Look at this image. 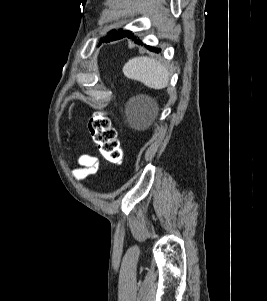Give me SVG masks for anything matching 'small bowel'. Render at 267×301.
I'll return each instance as SVG.
<instances>
[{
    "label": "small bowel",
    "instance_id": "small-bowel-1",
    "mask_svg": "<svg viewBox=\"0 0 267 301\" xmlns=\"http://www.w3.org/2000/svg\"><path fill=\"white\" fill-rule=\"evenodd\" d=\"M78 167L73 170L76 179L82 180L97 173L99 160L95 156L83 154L77 160Z\"/></svg>",
    "mask_w": 267,
    "mask_h": 301
}]
</instances>
